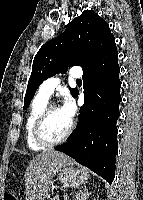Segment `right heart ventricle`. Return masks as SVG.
Returning <instances> with one entry per match:
<instances>
[{"instance_id":"right-heart-ventricle-1","label":"right heart ventricle","mask_w":143,"mask_h":200,"mask_svg":"<svg viewBox=\"0 0 143 200\" xmlns=\"http://www.w3.org/2000/svg\"><path fill=\"white\" fill-rule=\"evenodd\" d=\"M48 102H49V98H47L46 96L38 92L36 96L34 97V99L32 100L28 114H27V118L25 122V140H26L27 146L31 150H34V151H40V150L45 149L44 146L39 145L35 141L33 137V127L37 118L39 117V115L41 114L45 106L48 104Z\"/></svg>"}]
</instances>
